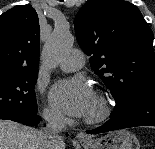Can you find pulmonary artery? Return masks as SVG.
Here are the masks:
<instances>
[{"label":"pulmonary artery","mask_w":155,"mask_h":149,"mask_svg":"<svg viewBox=\"0 0 155 149\" xmlns=\"http://www.w3.org/2000/svg\"><path fill=\"white\" fill-rule=\"evenodd\" d=\"M84 64V55L78 49L68 51L58 62V66L65 72H72L81 68Z\"/></svg>","instance_id":"pulmonary-artery-1"}]
</instances>
